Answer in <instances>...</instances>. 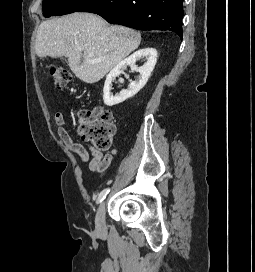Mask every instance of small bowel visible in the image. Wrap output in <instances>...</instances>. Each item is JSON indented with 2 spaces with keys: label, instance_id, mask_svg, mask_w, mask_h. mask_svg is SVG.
Returning a JSON list of instances; mask_svg holds the SVG:
<instances>
[{
  "label": "small bowel",
  "instance_id": "1",
  "mask_svg": "<svg viewBox=\"0 0 255 272\" xmlns=\"http://www.w3.org/2000/svg\"><path fill=\"white\" fill-rule=\"evenodd\" d=\"M54 120L57 127V133L63 143L78 156L81 162L89 161L88 166L91 171L103 175L110 167L115 152L103 154L101 151L95 150L94 148L87 149L81 143L73 140L65 126V118L62 113H56Z\"/></svg>",
  "mask_w": 255,
  "mask_h": 272
}]
</instances>
